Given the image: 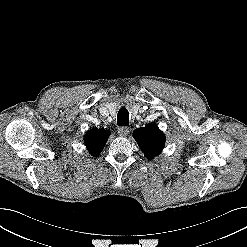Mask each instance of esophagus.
I'll return each instance as SVG.
<instances>
[{
    "label": "esophagus",
    "instance_id": "34e87169",
    "mask_svg": "<svg viewBox=\"0 0 247 247\" xmlns=\"http://www.w3.org/2000/svg\"><path fill=\"white\" fill-rule=\"evenodd\" d=\"M128 133H129V128L128 127H125V126H122V127H119L118 128V134L120 135V136H127L128 135Z\"/></svg>",
    "mask_w": 247,
    "mask_h": 247
}]
</instances>
